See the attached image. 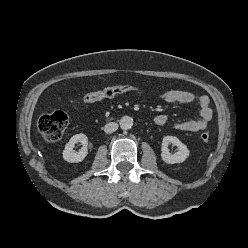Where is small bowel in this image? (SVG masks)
Wrapping results in <instances>:
<instances>
[{
  "label": "small bowel",
  "instance_id": "c3829d8e",
  "mask_svg": "<svg viewBox=\"0 0 248 248\" xmlns=\"http://www.w3.org/2000/svg\"><path fill=\"white\" fill-rule=\"evenodd\" d=\"M158 97L166 103L190 104L197 101L200 117L198 119H190L173 123V126L181 131L196 132L204 130L212 119L213 111L208 96L196 97V95L186 90H164L158 94ZM154 122L163 126L170 122L165 114H159L154 118Z\"/></svg>",
  "mask_w": 248,
  "mask_h": 248
}]
</instances>
